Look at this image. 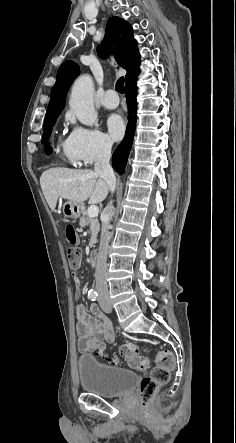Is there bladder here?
Listing matches in <instances>:
<instances>
[{
  "instance_id": "bladder-1",
  "label": "bladder",
  "mask_w": 236,
  "mask_h": 443,
  "mask_svg": "<svg viewBox=\"0 0 236 443\" xmlns=\"http://www.w3.org/2000/svg\"><path fill=\"white\" fill-rule=\"evenodd\" d=\"M77 369L83 390L102 398L120 397L131 391L137 381L135 372L99 363L92 355L80 356Z\"/></svg>"
}]
</instances>
